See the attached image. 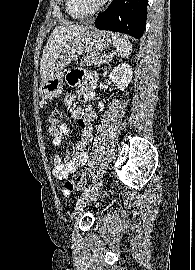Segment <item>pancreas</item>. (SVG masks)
Wrapping results in <instances>:
<instances>
[{
	"label": "pancreas",
	"mask_w": 195,
	"mask_h": 270,
	"mask_svg": "<svg viewBox=\"0 0 195 270\" xmlns=\"http://www.w3.org/2000/svg\"><path fill=\"white\" fill-rule=\"evenodd\" d=\"M111 60L108 58L106 54L98 55L96 53L87 55L86 57L81 60V65H100L101 63H107Z\"/></svg>",
	"instance_id": "cf45deb5"
}]
</instances>
